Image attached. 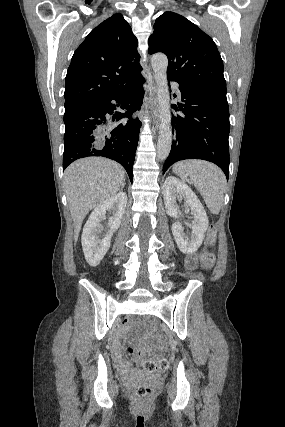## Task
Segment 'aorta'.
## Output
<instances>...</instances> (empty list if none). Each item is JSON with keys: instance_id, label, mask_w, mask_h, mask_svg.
Listing matches in <instances>:
<instances>
[{"instance_id": "762f6f07", "label": "aorta", "mask_w": 285, "mask_h": 427, "mask_svg": "<svg viewBox=\"0 0 285 427\" xmlns=\"http://www.w3.org/2000/svg\"><path fill=\"white\" fill-rule=\"evenodd\" d=\"M151 66L157 84V99L159 111V137L157 142V157L165 160L170 153L172 144L170 94L167 81V56L156 53L151 58Z\"/></svg>"}]
</instances>
